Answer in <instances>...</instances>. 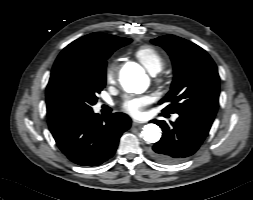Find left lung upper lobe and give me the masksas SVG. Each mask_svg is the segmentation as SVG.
Listing matches in <instances>:
<instances>
[{
	"label": "left lung upper lobe",
	"instance_id": "obj_1",
	"mask_svg": "<svg viewBox=\"0 0 253 200\" xmlns=\"http://www.w3.org/2000/svg\"><path fill=\"white\" fill-rule=\"evenodd\" d=\"M152 43L164 48L174 67L171 90L160 100L164 112H204L216 115L219 105L217 67L198 45L174 35L160 36Z\"/></svg>",
	"mask_w": 253,
	"mask_h": 200
}]
</instances>
